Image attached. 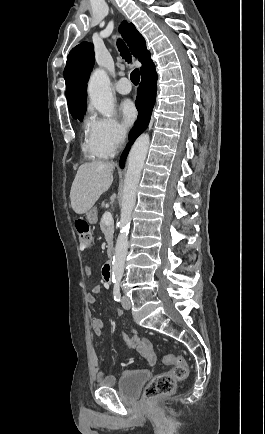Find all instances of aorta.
Returning a JSON list of instances; mask_svg holds the SVG:
<instances>
[{"label":"aorta","instance_id":"obj_1","mask_svg":"<svg viewBox=\"0 0 265 434\" xmlns=\"http://www.w3.org/2000/svg\"><path fill=\"white\" fill-rule=\"evenodd\" d=\"M90 102L97 112L106 118H112L114 112V98L111 84L105 70H94L90 76L87 88ZM148 134H141L134 142L128 156V168L124 180L123 198L121 202L120 234L117 238L112 262V280L121 282L124 274L125 260L128 250V234L131 214L136 202L137 186L149 148Z\"/></svg>","mask_w":265,"mask_h":434}]
</instances>
